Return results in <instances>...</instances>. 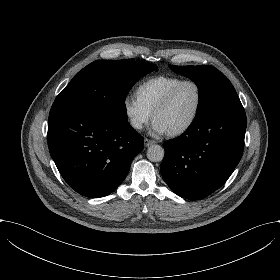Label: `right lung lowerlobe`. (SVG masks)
I'll list each match as a JSON object with an SVG mask.
<instances>
[{
	"instance_id": "obj_1",
	"label": "right lung lower lobe",
	"mask_w": 280,
	"mask_h": 280,
	"mask_svg": "<svg viewBox=\"0 0 280 280\" xmlns=\"http://www.w3.org/2000/svg\"><path fill=\"white\" fill-rule=\"evenodd\" d=\"M48 146L68 185L83 196L100 198L125 179L144 142L127 120L75 104H53Z\"/></svg>"
}]
</instances>
